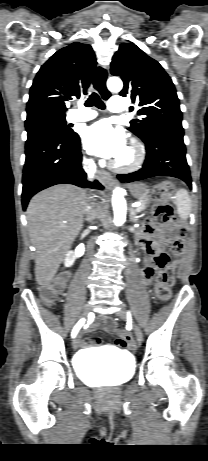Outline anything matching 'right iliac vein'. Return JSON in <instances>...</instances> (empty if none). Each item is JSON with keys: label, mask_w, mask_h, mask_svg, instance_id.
<instances>
[{"label": "right iliac vein", "mask_w": 208, "mask_h": 461, "mask_svg": "<svg viewBox=\"0 0 208 461\" xmlns=\"http://www.w3.org/2000/svg\"><path fill=\"white\" fill-rule=\"evenodd\" d=\"M90 306L89 305H86L83 309V312H82V318L85 319L88 317L89 313H90ZM79 342H80V336H76L72 342V346H73V349L76 350L78 347H79Z\"/></svg>", "instance_id": "1"}]
</instances>
